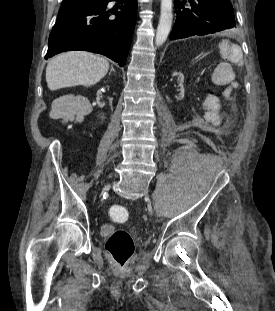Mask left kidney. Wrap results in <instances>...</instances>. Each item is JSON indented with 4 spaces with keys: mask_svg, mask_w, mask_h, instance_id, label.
Masks as SVG:
<instances>
[{
    "mask_svg": "<svg viewBox=\"0 0 275 311\" xmlns=\"http://www.w3.org/2000/svg\"><path fill=\"white\" fill-rule=\"evenodd\" d=\"M174 75H178L179 82H172L171 87L172 89H180V93L176 96V99L182 100L184 98V76L182 73H174ZM174 75L172 76L173 78L175 77Z\"/></svg>",
    "mask_w": 275,
    "mask_h": 311,
    "instance_id": "1",
    "label": "left kidney"
}]
</instances>
